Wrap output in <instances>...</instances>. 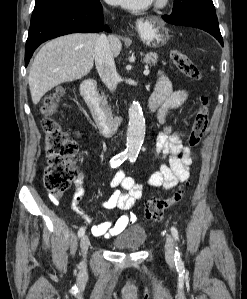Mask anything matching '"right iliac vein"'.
Returning a JSON list of instances; mask_svg holds the SVG:
<instances>
[{
  "instance_id": "63e3f726",
  "label": "right iliac vein",
  "mask_w": 247,
  "mask_h": 299,
  "mask_svg": "<svg viewBox=\"0 0 247 299\" xmlns=\"http://www.w3.org/2000/svg\"><path fill=\"white\" fill-rule=\"evenodd\" d=\"M89 245H90L89 237L87 235H83L81 238V241H80V248H81L83 257L86 256ZM83 264H84V262H83Z\"/></svg>"
}]
</instances>
